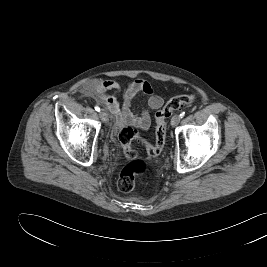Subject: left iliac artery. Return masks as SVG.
I'll list each match as a JSON object with an SVG mask.
<instances>
[{
	"mask_svg": "<svg viewBox=\"0 0 267 267\" xmlns=\"http://www.w3.org/2000/svg\"><path fill=\"white\" fill-rule=\"evenodd\" d=\"M184 116H185V113L182 112V113L180 114V117L183 118Z\"/></svg>",
	"mask_w": 267,
	"mask_h": 267,
	"instance_id": "1",
	"label": "left iliac artery"
}]
</instances>
